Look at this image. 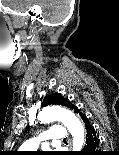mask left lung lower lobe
Segmentation results:
<instances>
[{
  "instance_id": "0a47b994",
  "label": "left lung lower lobe",
  "mask_w": 119,
  "mask_h": 155,
  "mask_svg": "<svg viewBox=\"0 0 119 155\" xmlns=\"http://www.w3.org/2000/svg\"><path fill=\"white\" fill-rule=\"evenodd\" d=\"M75 113H78L83 121L86 133V144L83 151L75 155H101L99 153V139L96 135V131L92 124L89 122L88 118L80 113V110L75 106L73 108Z\"/></svg>"
}]
</instances>
